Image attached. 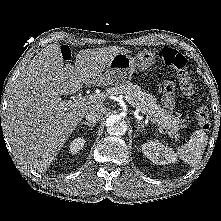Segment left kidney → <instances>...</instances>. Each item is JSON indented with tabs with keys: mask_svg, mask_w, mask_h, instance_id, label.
I'll list each match as a JSON object with an SVG mask.
<instances>
[{
	"mask_svg": "<svg viewBox=\"0 0 221 221\" xmlns=\"http://www.w3.org/2000/svg\"><path fill=\"white\" fill-rule=\"evenodd\" d=\"M141 147L144 155L157 165L174 163L177 160L174 151L158 140L148 141Z\"/></svg>",
	"mask_w": 221,
	"mask_h": 221,
	"instance_id": "1",
	"label": "left kidney"
}]
</instances>
